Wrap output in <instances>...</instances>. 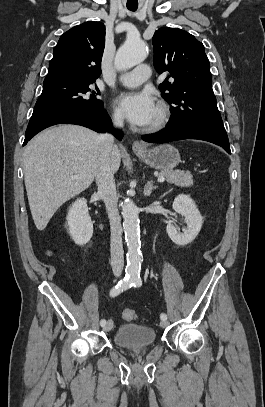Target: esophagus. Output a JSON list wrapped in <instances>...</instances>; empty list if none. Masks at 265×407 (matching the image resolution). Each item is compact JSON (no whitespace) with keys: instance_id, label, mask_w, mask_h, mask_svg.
Instances as JSON below:
<instances>
[{"instance_id":"1","label":"esophagus","mask_w":265,"mask_h":407,"mask_svg":"<svg viewBox=\"0 0 265 407\" xmlns=\"http://www.w3.org/2000/svg\"><path fill=\"white\" fill-rule=\"evenodd\" d=\"M132 149L134 151H142L144 149V146L141 142L139 141H134L132 144Z\"/></svg>"}]
</instances>
